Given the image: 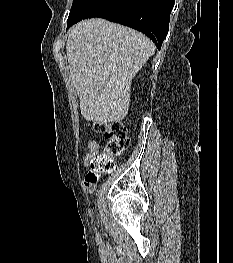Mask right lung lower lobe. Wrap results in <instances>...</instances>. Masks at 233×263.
Segmentation results:
<instances>
[{
	"label": "right lung lower lobe",
	"mask_w": 233,
	"mask_h": 263,
	"mask_svg": "<svg viewBox=\"0 0 233 263\" xmlns=\"http://www.w3.org/2000/svg\"><path fill=\"white\" fill-rule=\"evenodd\" d=\"M175 0H123L108 16L147 35L160 50L169 30L170 13Z\"/></svg>",
	"instance_id": "right-lung-lower-lobe-1"
}]
</instances>
